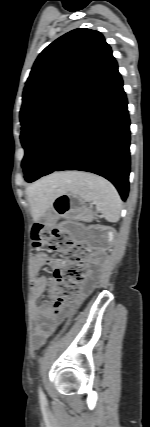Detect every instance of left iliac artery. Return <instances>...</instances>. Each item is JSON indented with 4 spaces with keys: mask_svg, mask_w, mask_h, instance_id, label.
I'll use <instances>...</instances> for the list:
<instances>
[{
    "mask_svg": "<svg viewBox=\"0 0 150 427\" xmlns=\"http://www.w3.org/2000/svg\"><path fill=\"white\" fill-rule=\"evenodd\" d=\"M39 397H40L41 400H45V395H44V393H43V391H42L41 388H39Z\"/></svg>",
    "mask_w": 150,
    "mask_h": 427,
    "instance_id": "1",
    "label": "left iliac artery"
}]
</instances>
